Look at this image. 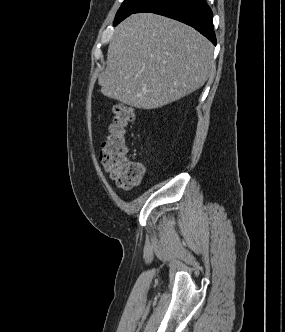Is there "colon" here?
I'll return each instance as SVG.
<instances>
[{
    "label": "colon",
    "mask_w": 285,
    "mask_h": 332,
    "mask_svg": "<svg viewBox=\"0 0 285 332\" xmlns=\"http://www.w3.org/2000/svg\"><path fill=\"white\" fill-rule=\"evenodd\" d=\"M135 119V110L118 103L112 110L106 139L100 150L105 171L122 189H131L142 182L145 167L128 156L127 130Z\"/></svg>",
    "instance_id": "5ec220e1"
}]
</instances>
